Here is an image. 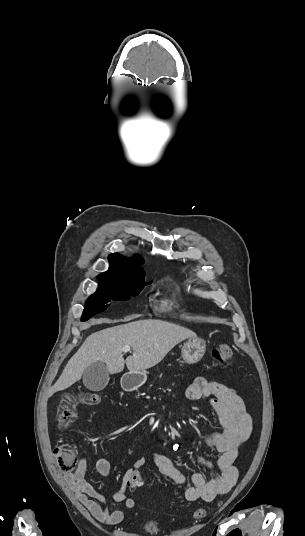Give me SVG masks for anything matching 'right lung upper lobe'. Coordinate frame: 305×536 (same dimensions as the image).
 Instances as JSON below:
<instances>
[{"instance_id":"cb5924a9","label":"right lung upper lobe","mask_w":305,"mask_h":536,"mask_svg":"<svg viewBox=\"0 0 305 536\" xmlns=\"http://www.w3.org/2000/svg\"><path fill=\"white\" fill-rule=\"evenodd\" d=\"M108 259L110 262L109 270L98 275V280L129 281L144 279L145 271L139 267L144 262L141 256L135 255L132 258H126L118 253H114Z\"/></svg>"}]
</instances>
